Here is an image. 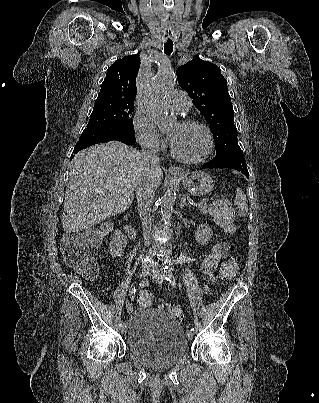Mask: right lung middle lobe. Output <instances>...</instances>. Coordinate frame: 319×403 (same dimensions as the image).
Masks as SVG:
<instances>
[{
    "label": "right lung middle lobe",
    "mask_w": 319,
    "mask_h": 403,
    "mask_svg": "<svg viewBox=\"0 0 319 403\" xmlns=\"http://www.w3.org/2000/svg\"><path fill=\"white\" fill-rule=\"evenodd\" d=\"M133 110V104L96 102L87 128L114 125L134 132L133 120L129 117Z\"/></svg>",
    "instance_id": "dd1d6c3e"
}]
</instances>
